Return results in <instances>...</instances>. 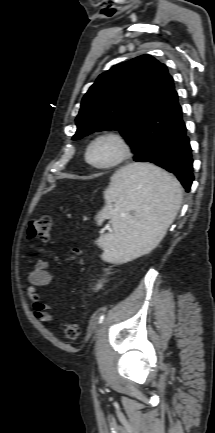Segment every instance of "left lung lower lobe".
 <instances>
[{
	"mask_svg": "<svg viewBox=\"0 0 215 433\" xmlns=\"http://www.w3.org/2000/svg\"><path fill=\"white\" fill-rule=\"evenodd\" d=\"M186 132L182 109L177 102L153 163L174 174L186 192H189L194 175L192 149Z\"/></svg>",
	"mask_w": 215,
	"mask_h": 433,
	"instance_id": "obj_1",
	"label": "left lung lower lobe"
}]
</instances>
